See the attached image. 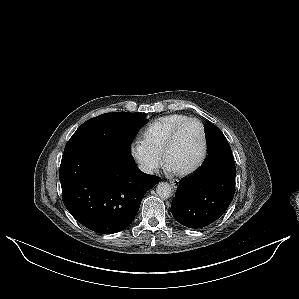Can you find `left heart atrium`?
<instances>
[{"instance_id": "left-heart-atrium-1", "label": "left heart atrium", "mask_w": 299, "mask_h": 299, "mask_svg": "<svg viewBox=\"0 0 299 299\" xmlns=\"http://www.w3.org/2000/svg\"><path fill=\"white\" fill-rule=\"evenodd\" d=\"M167 170L170 171V172H173V169L167 167Z\"/></svg>"}]
</instances>
